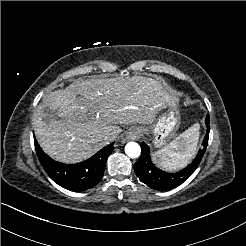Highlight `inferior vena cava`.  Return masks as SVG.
<instances>
[{
  "label": "inferior vena cava",
  "instance_id": "obj_1",
  "mask_svg": "<svg viewBox=\"0 0 246 246\" xmlns=\"http://www.w3.org/2000/svg\"><path fill=\"white\" fill-rule=\"evenodd\" d=\"M118 130H114L111 133H109L108 137L115 139L118 136Z\"/></svg>",
  "mask_w": 246,
  "mask_h": 246
}]
</instances>
